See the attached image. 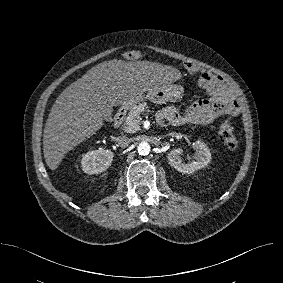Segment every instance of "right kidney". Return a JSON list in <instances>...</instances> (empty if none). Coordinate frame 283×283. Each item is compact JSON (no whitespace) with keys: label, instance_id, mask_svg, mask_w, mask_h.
Here are the masks:
<instances>
[{"label":"right kidney","instance_id":"right-kidney-1","mask_svg":"<svg viewBox=\"0 0 283 283\" xmlns=\"http://www.w3.org/2000/svg\"><path fill=\"white\" fill-rule=\"evenodd\" d=\"M114 154L111 150L99 148L89 151L82 156L81 167L87 174H99L104 172L112 163Z\"/></svg>","mask_w":283,"mask_h":283}]
</instances>
